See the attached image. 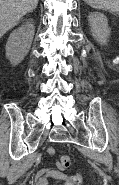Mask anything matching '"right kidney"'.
<instances>
[{
  "instance_id": "obj_1",
  "label": "right kidney",
  "mask_w": 119,
  "mask_h": 185,
  "mask_svg": "<svg viewBox=\"0 0 119 185\" xmlns=\"http://www.w3.org/2000/svg\"><path fill=\"white\" fill-rule=\"evenodd\" d=\"M35 33L34 25L30 22L15 29L6 44V57L11 64L17 65L27 55Z\"/></svg>"
}]
</instances>
